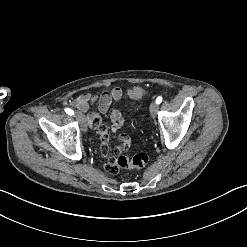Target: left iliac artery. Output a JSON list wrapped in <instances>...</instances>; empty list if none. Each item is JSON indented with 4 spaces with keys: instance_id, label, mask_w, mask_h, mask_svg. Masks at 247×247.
I'll return each instance as SVG.
<instances>
[{
    "instance_id": "44dca946",
    "label": "left iliac artery",
    "mask_w": 247,
    "mask_h": 247,
    "mask_svg": "<svg viewBox=\"0 0 247 247\" xmlns=\"http://www.w3.org/2000/svg\"><path fill=\"white\" fill-rule=\"evenodd\" d=\"M162 97L161 96H158L157 99H156V104H160L162 102Z\"/></svg>"
}]
</instances>
